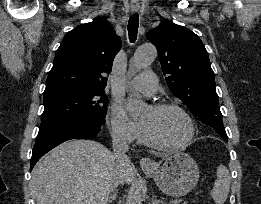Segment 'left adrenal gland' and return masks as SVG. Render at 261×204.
I'll list each match as a JSON object with an SVG mask.
<instances>
[{
	"label": "left adrenal gland",
	"mask_w": 261,
	"mask_h": 204,
	"mask_svg": "<svg viewBox=\"0 0 261 204\" xmlns=\"http://www.w3.org/2000/svg\"><path fill=\"white\" fill-rule=\"evenodd\" d=\"M163 204V202L160 199H157L156 196L152 198V204Z\"/></svg>",
	"instance_id": "a2214340"
}]
</instances>
